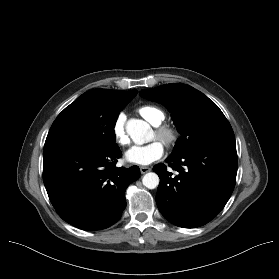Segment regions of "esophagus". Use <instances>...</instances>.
Returning <instances> with one entry per match:
<instances>
[{
	"instance_id": "34e87169",
	"label": "esophagus",
	"mask_w": 279,
	"mask_h": 279,
	"mask_svg": "<svg viewBox=\"0 0 279 279\" xmlns=\"http://www.w3.org/2000/svg\"><path fill=\"white\" fill-rule=\"evenodd\" d=\"M151 171V168L150 167H147V166H141L140 167V172L141 174H145L147 172Z\"/></svg>"
}]
</instances>
